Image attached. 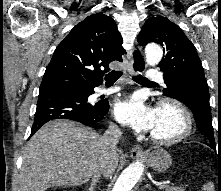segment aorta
I'll return each mask as SVG.
<instances>
[{
  "label": "aorta",
  "instance_id": "1",
  "mask_svg": "<svg viewBox=\"0 0 221 191\" xmlns=\"http://www.w3.org/2000/svg\"><path fill=\"white\" fill-rule=\"evenodd\" d=\"M146 62L150 66L157 65L162 58V49L157 44H148L145 48ZM143 173V164H130L118 177L112 191H131Z\"/></svg>",
  "mask_w": 221,
  "mask_h": 191
}]
</instances>
